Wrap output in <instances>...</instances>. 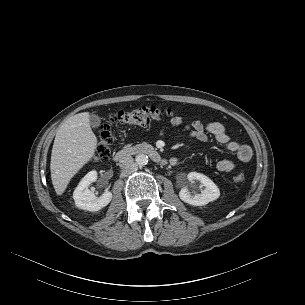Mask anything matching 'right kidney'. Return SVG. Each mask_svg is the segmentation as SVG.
<instances>
[{"mask_svg":"<svg viewBox=\"0 0 305 305\" xmlns=\"http://www.w3.org/2000/svg\"><path fill=\"white\" fill-rule=\"evenodd\" d=\"M97 175V171L95 170L88 172L76 187L73 193V199L79 209L98 211L110 203L112 199L111 192L107 191L98 198L88 188L92 182L97 180Z\"/></svg>","mask_w":305,"mask_h":305,"instance_id":"obj_1","label":"right kidney"}]
</instances>
